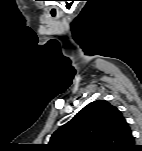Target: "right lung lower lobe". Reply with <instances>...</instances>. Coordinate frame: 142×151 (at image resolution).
<instances>
[{
	"instance_id": "1",
	"label": "right lung lower lobe",
	"mask_w": 142,
	"mask_h": 151,
	"mask_svg": "<svg viewBox=\"0 0 142 151\" xmlns=\"http://www.w3.org/2000/svg\"><path fill=\"white\" fill-rule=\"evenodd\" d=\"M133 147V148H132ZM131 149V150H130ZM129 150H125V151H133V150H141L142 151V147L140 146H135L134 143L133 145L130 147Z\"/></svg>"
}]
</instances>
